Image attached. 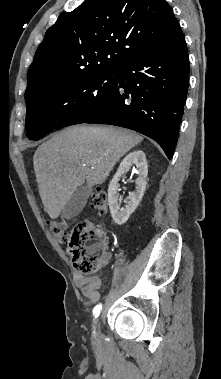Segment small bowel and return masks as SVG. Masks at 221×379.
<instances>
[{
    "label": "small bowel",
    "mask_w": 221,
    "mask_h": 379,
    "mask_svg": "<svg viewBox=\"0 0 221 379\" xmlns=\"http://www.w3.org/2000/svg\"><path fill=\"white\" fill-rule=\"evenodd\" d=\"M111 259V253L105 251L101 258L99 268H104ZM75 284L81 289L82 294L90 301L97 302L100 298L99 289L101 281L96 276H86L81 273H76L74 276Z\"/></svg>",
    "instance_id": "obj_1"
}]
</instances>
